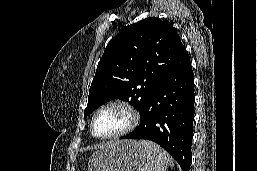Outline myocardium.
<instances>
[{"label": "myocardium", "instance_id": "1", "mask_svg": "<svg viewBox=\"0 0 257 171\" xmlns=\"http://www.w3.org/2000/svg\"><path fill=\"white\" fill-rule=\"evenodd\" d=\"M113 107L121 108V109L125 110L128 113L129 118H130L129 123L122 130H120L114 134L107 135V136L97 135L94 131V121H95L96 116L101 111L108 109V108H113ZM139 122H140V113L133 104H131L130 102L125 101V100H113V101L103 104L93 113V115L91 117V121H90V131H91V134L95 138H98V139H102V140L116 139V138H120V137L132 132L138 126Z\"/></svg>", "mask_w": 257, "mask_h": 171}]
</instances>
